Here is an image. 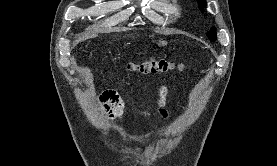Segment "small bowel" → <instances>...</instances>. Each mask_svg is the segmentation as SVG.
Listing matches in <instances>:
<instances>
[{"label":"small bowel","mask_w":277,"mask_h":166,"mask_svg":"<svg viewBox=\"0 0 277 166\" xmlns=\"http://www.w3.org/2000/svg\"><path fill=\"white\" fill-rule=\"evenodd\" d=\"M167 94V89L162 87L158 92V116L161 118H167L168 113L164 108L165 98ZM100 102L103 105L104 110L109 115V117L120 118L123 113V103L119 95L112 90H106L100 95ZM139 114L142 116L150 117L151 114L147 111H139Z\"/></svg>","instance_id":"obj_1"}]
</instances>
